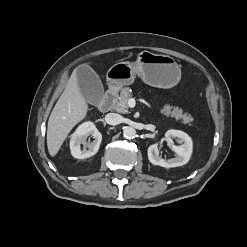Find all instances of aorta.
Listing matches in <instances>:
<instances>
[{
    "label": "aorta",
    "mask_w": 247,
    "mask_h": 247,
    "mask_svg": "<svg viewBox=\"0 0 247 247\" xmlns=\"http://www.w3.org/2000/svg\"><path fill=\"white\" fill-rule=\"evenodd\" d=\"M123 135L126 139H133L136 136V130L133 127H125L123 130Z\"/></svg>",
    "instance_id": "762f6f07"
}]
</instances>
